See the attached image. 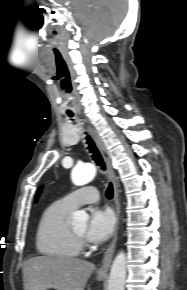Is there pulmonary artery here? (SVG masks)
<instances>
[{"label": "pulmonary artery", "mask_w": 187, "mask_h": 290, "mask_svg": "<svg viewBox=\"0 0 187 290\" xmlns=\"http://www.w3.org/2000/svg\"><path fill=\"white\" fill-rule=\"evenodd\" d=\"M98 199V189L95 186L90 185L79 188L65 195L61 200L69 207L75 209L82 204L96 202Z\"/></svg>", "instance_id": "1"}]
</instances>
